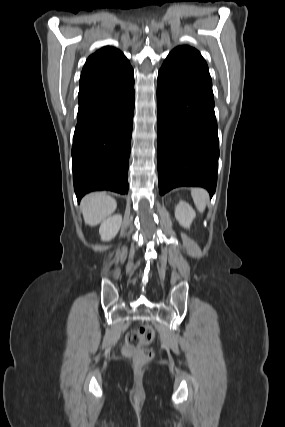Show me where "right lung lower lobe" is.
<instances>
[{"mask_svg":"<svg viewBox=\"0 0 285 427\" xmlns=\"http://www.w3.org/2000/svg\"><path fill=\"white\" fill-rule=\"evenodd\" d=\"M72 147L78 201L90 191L128 193V164L134 114V72L79 91Z\"/></svg>","mask_w":285,"mask_h":427,"instance_id":"98d812e1","label":"right lung lower lobe"}]
</instances>
